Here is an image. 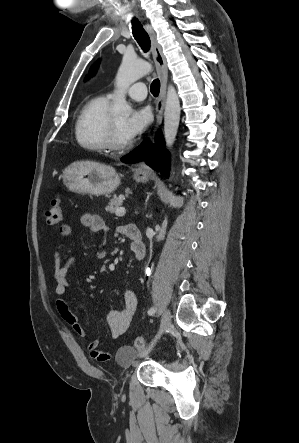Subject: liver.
Returning a JSON list of instances; mask_svg holds the SVG:
<instances>
[{
  "label": "liver",
  "instance_id": "obj_1",
  "mask_svg": "<svg viewBox=\"0 0 299 443\" xmlns=\"http://www.w3.org/2000/svg\"><path fill=\"white\" fill-rule=\"evenodd\" d=\"M86 164H88V165H97L98 163H95V162H85Z\"/></svg>",
  "mask_w": 299,
  "mask_h": 443
}]
</instances>
